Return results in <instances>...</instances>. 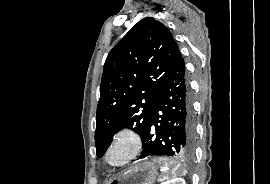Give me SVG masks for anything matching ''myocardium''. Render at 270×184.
I'll return each instance as SVG.
<instances>
[{
    "label": "myocardium",
    "mask_w": 270,
    "mask_h": 184,
    "mask_svg": "<svg viewBox=\"0 0 270 184\" xmlns=\"http://www.w3.org/2000/svg\"><path fill=\"white\" fill-rule=\"evenodd\" d=\"M119 148L125 149V155L117 162L111 161V155ZM142 150V139L140 134L131 127H123L117 131L107 145L103 161L106 166L112 169L125 167L134 161Z\"/></svg>",
    "instance_id": "obj_1"
}]
</instances>
